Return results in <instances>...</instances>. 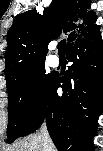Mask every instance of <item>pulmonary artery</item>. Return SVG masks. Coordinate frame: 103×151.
I'll use <instances>...</instances> for the list:
<instances>
[{"mask_svg": "<svg viewBox=\"0 0 103 151\" xmlns=\"http://www.w3.org/2000/svg\"><path fill=\"white\" fill-rule=\"evenodd\" d=\"M50 64H51L52 66H57V65H58V58H57L56 56H52V57L50 58Z\"/></svg>", "mask_w": 103, "mask_h": 151, "instance_id": "e3ab8cb5", "label": "pulmonary artery"}]
</instances>
